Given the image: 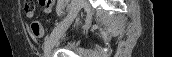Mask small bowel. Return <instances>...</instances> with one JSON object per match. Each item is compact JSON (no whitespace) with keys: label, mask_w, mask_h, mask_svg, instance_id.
I'll use <instances>...</instances> for the list:
<instances>
[{"label":"small bowel","mask_w":172,"mask_h":57,"mask_svg":"<svg viewBox=\"0 0 172 57\" xmlns=\"http://www.w3.org/2000/svg\"><path fill=\"white\" fill-rule=\"evenodd\" d=\"M28 2H29V1H28ZM28 2H26L25 6H24V10H25V8H26ZM38 2H39L40 5L42 6V9H43L44 13H46V14H49V13L52 11V7H53L54 4H55V1H54V0H39ZM25 12H26V15H27V16H32L33 13H34V10H33L32 12H27V11L25 10Z\"/></svg>","instance_id":"1"}]
</instances>
